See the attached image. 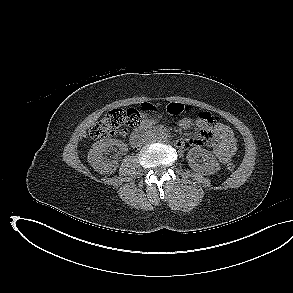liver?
<instances>
[{
  "label": "liver",
  "instance_id": "liver-1",
  "mask_svg": "<svg viewBox=\"0 0 293 293\" xmlns=\"http://www.w3.org/2000/svg\"><path fill=\"white\" fill-rule=\"evenodd\" d=\"M98 117H99V115H95L92 119H90L88 121V124L86 125V128L89 127L94 121H96L98 119Z\"/></svg>",
  "mask_w": 293,
  "mask_h": 293
}]
</instances>
